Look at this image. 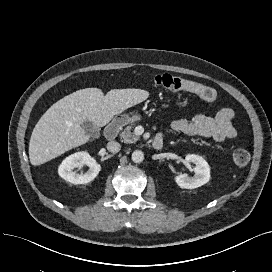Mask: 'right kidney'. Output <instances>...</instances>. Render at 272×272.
<instances>
[{
	"instance_id": "ca27d5eb",
	"label": "right kidney",
	"mask_w": 272,
	"mask_h": 272,
	"mask_svg": "<svg viewBox=\"0 0 272 272\" xmlns=\"http://www.w3.org/2000/svg\"><path fill=\"white\" fill-rule=\"evenodd\" d=\"M87 165L89 170L84 174L74 172V168ZM101 170L100 164L87 152H77L65 158L58 168L60 177L73 184H87L95 179Z\"/></svg>"
}]
</instances>
